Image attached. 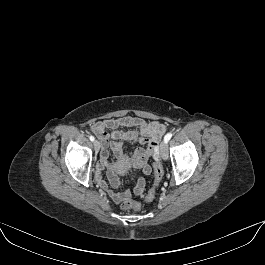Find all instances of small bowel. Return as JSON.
Instances as JSON below:
<instances>
[{"label":"small bowel","instance_id":"small-bowel-1","mask_svg":"<svg viewBox=\"0 0 265 265\" xmlns=\"http://www.w3.org/2000/svg\"><path fill=\"white\" fill-rule=\"evenodd\" d=\"M91 131L103 143L96 174L99 186L107 191L116 203L130 198L129 192L115 193L110 190L108 184L102 179L101 171L108 166V149H111L121 163L142 171L143 175L137 179L133 189L135 195H141L146 185L145 176L151 173L148 161L150 158L154 160L158 158V143L166 131L165 126L157 121L121 116L94 122L91 125ZM125 143H139L142 147L127 154L124 151ZM109 175L112 186H119L120 180L113 167H110Z\"/></svg>","mask_w":265,"mask_h":265}]
</instances>
